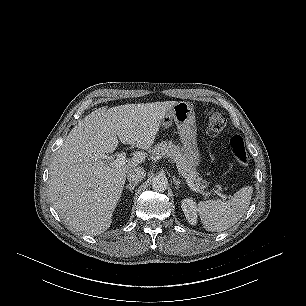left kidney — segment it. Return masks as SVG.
Wrapping results in <instances>:
<instances>
[{"mask_svg":"<svg viewBox=\"0 0 306 306\" xmlns=\"http://www.w3.org/2000/svg\"><path fill=\"white\" fill-rule=\"evenodd\" d=\"M181 207L188 222L191 225H195L197 223V209L195 201L190 198L183 199Z\"/></svg>","mask_w":306,"mask_h":306,"instance_id":"1","label":"left kidney"}]
</instances>
